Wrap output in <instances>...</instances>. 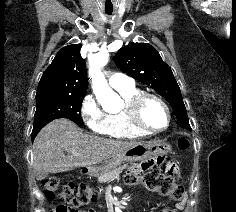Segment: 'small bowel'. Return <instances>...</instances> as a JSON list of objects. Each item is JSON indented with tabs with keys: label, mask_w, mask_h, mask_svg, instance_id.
I'll return each instance as SVG.
<instances>
[{
	"label": "small bowel",
	"mask_w": 236,
	"mask_h": 212,
	"mask_svg": "<svg viewBox=\"0 0 236 212\" xmlns=\"http://www.w3.org/2000/svg\"><path fill=\"white\" fill-rule=\"evenodd\" d=\"M81 212H93V211L91 210V211H81ZM164 212H176V210H166Z\"/></svg>",
	"instance_id": "obj_1"
}]
</instances>
